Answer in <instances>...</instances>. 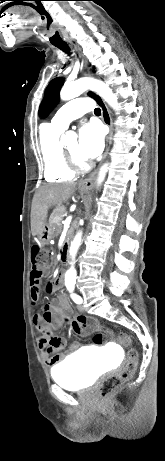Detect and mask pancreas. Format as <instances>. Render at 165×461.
I'll use <instances>...</instances> for the list:
<instances>
[{
    "label": "pancreas",
    "instance_id": "cf45deb5",
    "mask_svg": "<svg viewBox=\"0 0 165 461\" xmlns=\"http://www.w3.org/2000/svg\"><path fill=\"white\" fill-rule=\"evenodd\" d=\"M65 212V208L63 206H59L53 210L52 214L49 218V224L53 228L56 234L61 232L62 229V216Z\"/></svg>",
    "mask_w": 165,
    "mask_h": 461
}]
</instances>
